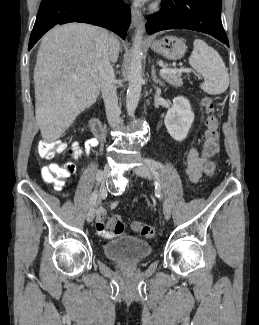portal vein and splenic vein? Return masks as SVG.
<instances>
[{"label": "portal vein and splenic vein", "instance_id": "1", "mask_svg": "<svg viewBox=\"0 0 259 325\" xmlns=\"http://www.w3.org/2000/svg\"><path fill=\"white\" fill-rule=\"evenodd\" d=\"M183 71H186V69L184 68H180V69H169V68H166V67H163L162 69H160V73H177V72H183Z\"/></svg>", "mask_w": 259, "mask_h": 325}]
</instances>
